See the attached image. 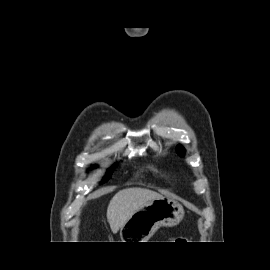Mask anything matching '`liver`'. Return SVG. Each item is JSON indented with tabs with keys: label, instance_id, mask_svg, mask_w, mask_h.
Returning a JSON list of instances; mask_svg holds the SVG:
<instances>
[{
	"label": "liver",
	"instance_id": "1",
	"mask_svg": "<svg viewBox=\"0 0 270 270\" xmlns=\"http://www.w3.org/2000/svg\"><path fill=\"white\" fill-rule=\"evenodd\" d=\"M162 195L143 188H128L117 192L107 207V221L114 234L147 202Z\"/></svg>",
	"mask_w": 270,
	"mask_h": 270
}]
</instances>
